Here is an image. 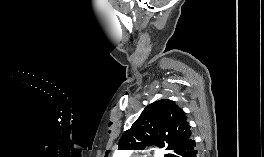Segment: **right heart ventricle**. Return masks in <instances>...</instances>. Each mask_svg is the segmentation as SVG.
I'll return each mask as SVG.
<instances>
[{
  "mask_svg": "<svg viewBox=\"0 0 264 157\" xmlns=\"http://www.w3.org/2000/svg\"><path fill=\"white\" fill-rule=\"evenodd\" d=\"M113 157H126L124 155H122L121 153L115 154Z\"/></svg>",
  "mask_w": 264,
  "mask_h": 157,
  "instance_id": "right-heart-ventricle-1",
  "label": "right heart ventricle"
}]
</instances>
